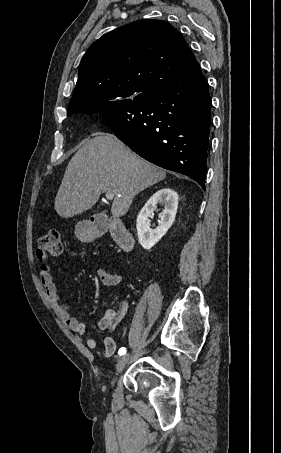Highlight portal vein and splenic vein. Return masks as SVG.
<instances>
[{
  "label": "portal vein and splenic vein",
  "mask_w": 281,
  "mask_h": 453,
  "mask_svg": "<svg viewBox=\"0 0 281 453\" xmlns=\"http://www.w3.org/2000/svg\"><path fill=\"white\" fill-rule=\"evenodd\" d=\"M105 196H106L107 200H113L114 192H109V190H107Z\"/></svg>",
  "instance_id": "1"
}]
</instances>
